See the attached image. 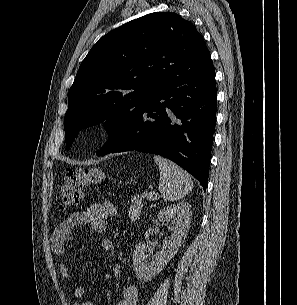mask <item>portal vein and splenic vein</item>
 Returning a JSON list of instances; mask_svg holds the SVG:
<instances>
[{
  "mask_svg": "<svg viewBox=\"0 0 297 305\" xmlns=\"http://www.w3.org/2000/svg\"><path fill=\"white\" fill-rule=\"evenodd\" d=\"M143 196L146 197L148 200H154L158 197V195L155 192H147V191L143 193Z\"/></svg>",
  "mask_w": 297,
  "mask_h": 305,
  "instance_id": "18ae733b",
  "label": "portal vein and splenic vein"
}]
</instances>
